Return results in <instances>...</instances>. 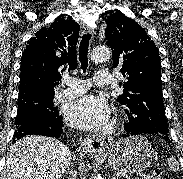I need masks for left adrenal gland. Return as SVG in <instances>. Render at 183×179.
Listing matches in <instances>:
<instances>
[{"mask_svg": "<svg viewBox=\"0 0 183 179\" xmlns=\"http://www.w3.org/2000/svg\"><path fill=\"white\" fill-rule=\"evenodd\" d=\"M111 179H117L116 177L112 176Z\"/></svg>", "mask_w": 183, "mask_h": 179, "instance_id": "1", "label": "left adrenal gland"}]
</instances>
